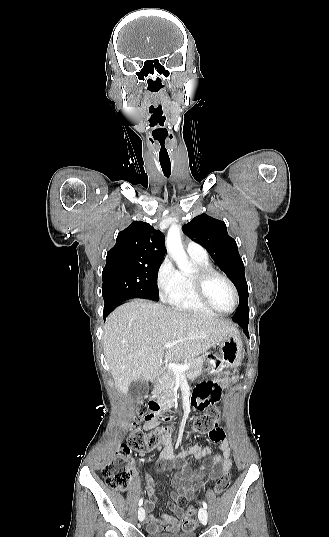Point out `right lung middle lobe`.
<instances>
[{"instance_id": "obj_1", "label": "right lung middle lobe", "mask_w": 329, "mask_h": 537, "mask_svg": "<svg viewBox=\"0 0 329 537\" xmlns=\"http://www.w3.org/2000/svg\"><path fill=\"white\" fill-rule=\"evenodd\" d=\"M161 262L106 266L102 272L104 301L111 297L122 300L146 298L158 301L157 274Z\"/></svg>"}]
</instances>
